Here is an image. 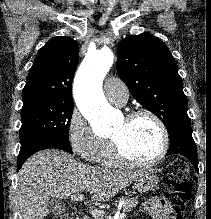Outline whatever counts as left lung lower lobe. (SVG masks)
I'll return each mask as SVG.
<instances>
[{
    "instance_id": "0a47b994",
    "label": "left lung lower lobe",
    "mask_w": 211,
    "mask_h": 219,
    "mask_svg": "<svg viewBox=\"0 0 211 219\" xmlns=\"http://www.w3.org/2000/svg\"><path fill=\"white\" fill-rule=\"evenodd\" d=\"M170 147L166 155L180 154L189 159L198 171L196 144L192 137L191 126L176 129L170 136Z\"/></svg>"
}]
</instances>
